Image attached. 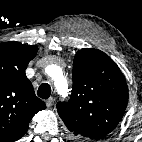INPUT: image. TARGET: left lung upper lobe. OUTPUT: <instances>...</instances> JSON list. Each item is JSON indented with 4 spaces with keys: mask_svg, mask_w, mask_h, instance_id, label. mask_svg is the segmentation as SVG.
Returning <instances> with one entry per match:
<instances>
[{
    "mask_svg": "<svg viewBox=\"0 0 142 142\" xmlns=\"http://www.w3.org/2000/svg\"><path fill=\"white\" fill-rule=\"evenodd\" d=\"M128 102V87L117 64L104 52L84 48L73 62V90L57 111L77 140H100L122 119Z\"/></svg>",
    "mask_w": 142,
    "mask_h": 142,
    "instance_id": "1",
    "label": "left lung upper lobe"
}]
</instances>
